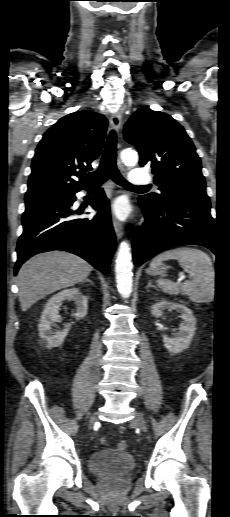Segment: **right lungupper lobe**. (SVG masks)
Segmentation results:
<instances>
[{
  "mask_svg": "<svg viewBox=\"0 0 230 517\" xmlns=\"http://www.w3.org/2000/svg\"><path fill=\"white\" fill-rule=\"evenodd\" d=\"M107 125L103 115L88 110L68 114L55 123L36 148L25 201L65 195L88 186L85 173L101 153Z\"/></svg>",
  "mask_w": 230,
  "mask_h": 517,
  "instance_id": "right-lung-upper-lobe-1",
  "label": "right lung upper lobe"
}]
</instances>
